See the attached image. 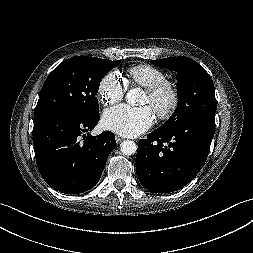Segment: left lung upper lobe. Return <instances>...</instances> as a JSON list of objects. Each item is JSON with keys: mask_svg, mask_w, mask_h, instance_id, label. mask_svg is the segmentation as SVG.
Segmentation results:
<instances>
[{"mask_svg": "<svg viewBox=\"0 0 253 253\" xmlns=\"http://www.w3.org/2000/svg\"><path fill=\"white\" fill-rule=\"evenodd\" d=\"M159 67L177 73L178 105L171 116L158 129L169 131L182 122L198 115L215 116L217 103L212 80L207 71L191 58L178 56L154 60Z\"/></svg>", "mask_w": 253, "mask_h": 253, "instance_id": "left-lung-upper-lobe-1", "label": "left lung upper lobe"}]
</instances>
